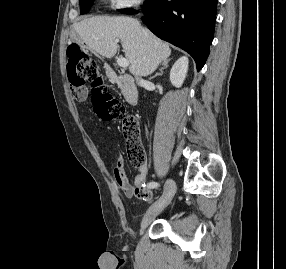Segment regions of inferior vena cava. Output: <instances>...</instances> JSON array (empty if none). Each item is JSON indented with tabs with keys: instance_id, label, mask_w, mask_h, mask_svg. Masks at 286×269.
<instances>
[{
	"instance_id": "inferior-vena-cava-1",
	"label": "inferior vena cava",
	"mask_w": 286,
	"mask_h": 269,
	"mask_svg": "<svg viewBox=\"0 0 286 269\" xmlns=\"http://www.w3.org/2000/svg\"><path fill=\"white\" fill-rule=\"evenodd\" d=\"M142 83H143L142 79L138 80V84H142Z\"/></svg>"
}]
</instances>
